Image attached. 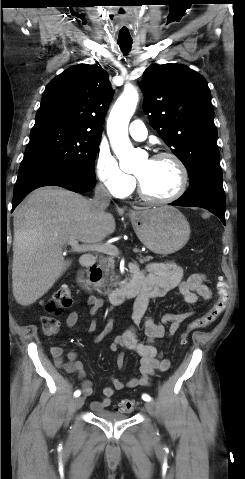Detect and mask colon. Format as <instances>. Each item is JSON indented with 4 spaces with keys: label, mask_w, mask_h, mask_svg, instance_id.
I'll use <instances>...</instances> for the list:
<instances>
[{
    "label": "colon",
    "mask_w": 245,
    "mask_h": 479,
    "mask_svg": "<svg viewBox=\"0 0 245 479\" xmlns=\"http://www.w3.org/2000/svg\"><path fill=\"white\" fill-rule=\"evenodd\" d=\"M218 297L211 308L202 316L192 320L186 329L180 335V343L186 344L192 331L208 327L214 323L225 309L228 300V291L224 283L217 286ZM73 302L72 292L69 286L62 285L53 294L51 299L46 303L45 310L47 315L41 318L42 330L47 335H53L58 332L59 316L62 311L71 307ZM136 407V403L130 399H122L117 403V410L123 413H130Z\"/></svg>",
    "instance_id": "colon-1"
}]
</instances>
